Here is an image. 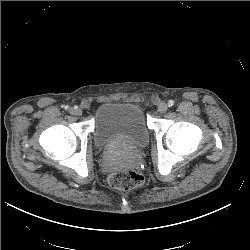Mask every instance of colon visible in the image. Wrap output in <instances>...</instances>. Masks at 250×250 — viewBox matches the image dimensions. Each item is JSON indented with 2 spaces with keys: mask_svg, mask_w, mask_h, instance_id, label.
Masks as SVG:
<instances>
[{
  "mask_svg": "<svg viewBox=\"0 0 250 250\" xmlns=\"http://www.w3.org/2000/svg\"><path fill=\"white\" fill-rule=\"evenodd\" d=\"M109 184L117 190H131L143 184L142 174L133 170L118 171L109 176Z\"/></svg>",
  "mask_w": 250,
  "mask_h": 250,
  "instance_id": "1",
  "label": "colon"
}]
</instances>
